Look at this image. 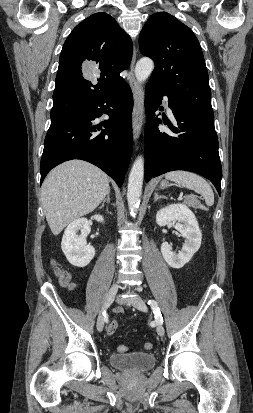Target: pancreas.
<instances>
[{"instance_id": "obj_1", "label": "pancreas", "mask_w": 253, "mask_h": 413, "mask_svg": "<svg viewBox=\"0 0 253 413\" xmlns=\"http://www.w3.org/2000/svg\"><path fill=\"white\" fill-rule=\"evenodd\" d=\"M185 204H187L190 207L193 208H201V204L199 200L196 197H187L184 201Z\"/></svg>"}]
</instances>
